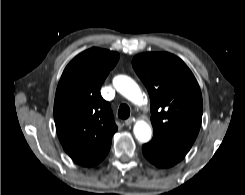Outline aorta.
Instances as JSON below:
<instances>
[{"mask_svg": "<svg viewBox=\"0 0 245 195\" xmlns=\"http://www.w3.org/2000/svg\"><path fill=\"white\" fill-rule=\"evenodd\" d=\"M116 90L135 104L143 101L142 92L139 86L130 78L124 75L116 76L113 80ZM134 134L140 142H148L151 138V127L145 121H138L134 126Z\"/></svg>", "mask_w": 245, "mask_h": 195, "instance_id": "obj_1", "label": "aorta"}]
</instances>
